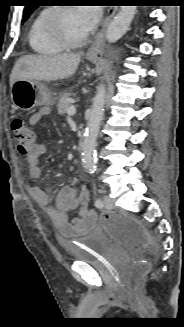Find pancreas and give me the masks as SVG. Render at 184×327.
<instances>
[{
	"label": "pancreas",
	"instance_id": "1",
	"mask_svg": "<svg viewBox=\"0 0 184 327\" xmlns=\"http://www.w3.org/2000/svg\"><path fill=\"white\" fill-rule=\"evenodd\" d=\"M70 93H64L63 95L60 96L58 100V113L60 115H63L67 112L68 108L72 105L71 103V98H70Z\"/></svg>",
	"mask_w": 184,
	"mask_h": 327
}]
</instances>
